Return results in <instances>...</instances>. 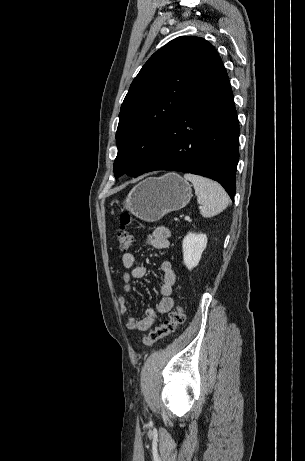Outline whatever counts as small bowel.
Here are the masks:
<instances>
[{
  "label": "small bowel",
  "instance_id": "1",
  "mask_svg": "<svg viewBox=\"0 0 305 461\" xmlns=\"http://www.w3.org/2000/svg\"><path fill=\"white\" fill-rule=\"evenodd\" d=\"M171 231L164 226L157 227L152 234L147 238V244L154 249L164 250L170 246ZM122 264L129 272L122 276L123 285L122 292L127 294L133 289L132 280L144 277L147 274V267L140 264L134 254L127 252L122 256ZM163 274V282L160 288L161 298L156 308H149L145 312V316L137 319L133 316L125 317V324L132 331L148 330L158 317L166 315L174 306V298L172 296L173 289L176 283V273L171 261L164 260L161 263ZM119 311L122 315L128 312L126 299L123 295L118 297Z\"/></svg>",
  "mask_w": 305,
  "mask_h": 461
}]
</instances>
